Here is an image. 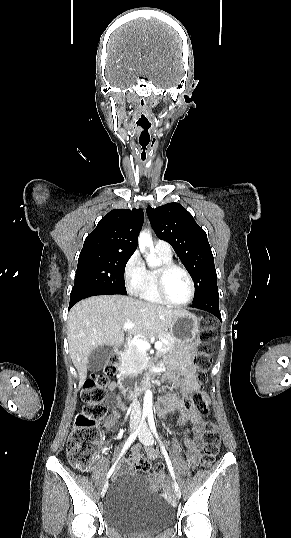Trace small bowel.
<instances>
[{"label":"small bowel","mask_w":291,"mask_h":538,"mask_svg":"<svg viewBox=\"0 0 291 538\" xmlns=\"http://www.w3.org/2000/svg\"><path fill=\"white\" fill-rule=\"evenodd\" d=\"M194 351V347H190L169 361L167 379L179 390V392L177 394H164L159 398L157 403V410L160 416H167L177 410H181L182 413L178 419V424L180 426H184L187 423L191 424L193 437L184 439L187 463L191 468H196L201 461V447L203 445L205 433V422L200 414L184 408L185 401L199 389V384L195 377L192 365ZM118 383L119 380L109 383L107 386L108 391L113 393L117 388ZM108 404L111 409V417L106 421V425L111 427L115 424L116 420H119L122 417L120 411H125L127 407L118 395H110ZM157 456L158 452L156 450L150 448L147 449V457L150 460ZM141 458L140 446H133L130 461L136 463ZM123 465L124 467H127L129 462L124 461Z\"/></svg>","instance_id":"small-bowel-1"}]
</instances>
